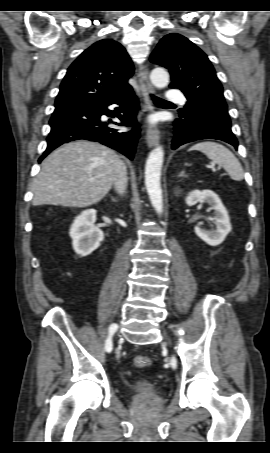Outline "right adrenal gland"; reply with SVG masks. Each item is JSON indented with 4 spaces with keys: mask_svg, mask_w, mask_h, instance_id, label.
Returning <instances> with one entry per match:
<instances>
[{
    "mask_svg": "<svg viewBox=\"0 0 270 453\" xmlns=\"http://www.w3.org/2000/svg\"><path fill=\"white\" fill-rule=\"evenodd\" d=\"M111 199H112L113 202H118L117 198H115L113 196L111 197Z\"/></svg>",
    "mask_w": 270,
    "mask_h": 453,
    "instance_id": "obj_1",
    "label": "right adrenal gland"
}]
</instances>
